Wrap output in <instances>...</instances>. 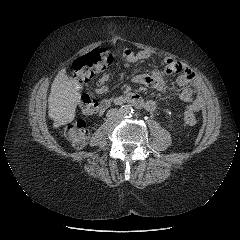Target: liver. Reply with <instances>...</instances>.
I'll return each mask as SVG.
<instances>
[{
	"mask_svg": "<svg viewBox=\"0 0 240 240\" xmlns=\"http://www.w3.org/2000/svg\"><path fill=\"white\" fill-rule=\"evenodd\" d=\"M79 101L80 93L76 81L66 75L65 68L61 69L51 85L48 98V115L54 121V128L74 120Z\"/></svg>",
	"mask_w": 240,
	"mask_h": 240,
	"instance_id": "1",
	"label": "liver"
}]
</instances>
